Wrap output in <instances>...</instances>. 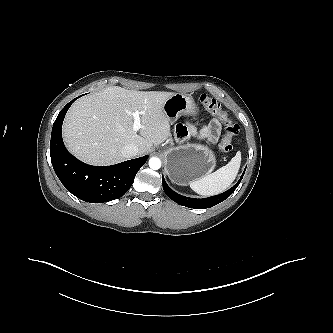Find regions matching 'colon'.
Returning a JSON list of instances; mask_svg holds the SVG:
<instances>
[{"label": "colon", "mask_w": 333, "mask_h": 333, "mask_svg": "<svg viewBox=\"0 0 333 333\" xmlns=\"http://www.w3.org/2000/svg\"><path fill=\"white\" fill-rule=\"evenodd\" d=\"M199 101L208 112L223 122L224 132L222 140L219 144V150L222 153L230 152L233 148L232 138L238 133L239 126L228 118L227 114L222 110L216 99L211 98L206 94H202L199 97Z\"/></svg>", "instance_id": "colon-1"}]
</instances>
